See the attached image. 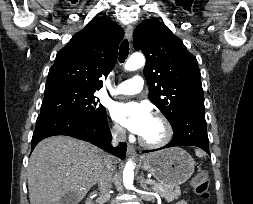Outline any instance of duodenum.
<instances>
[{"mask_svg":"<svg viewBox=\"0 0 253 204\" xmlns=\"http://www.w3.org/2000/svg\"><path fill=\"white\" fill-rule=\"evenodd\" d=\"M96 195L93 193L88 196L86 204H95Z\"/></svg>","mask_w":253,"mask_h":204,"instance_id":"1","label":"duodenum"}]
</instances>
